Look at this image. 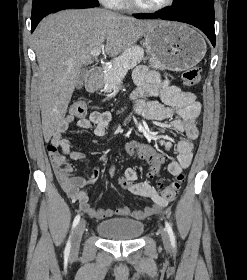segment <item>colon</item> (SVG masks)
Masks as SVG:
<instances>
[{
  "label": "colon",
  "mask_w": 247,
  "mask_h": 280,
  "mask_svg": "<svg viewBox=\"0 0 247 280\" xmlns=\"http://www.w3.org/2000/svg\"><path fill=\"white\" fill-rule=\"evenodd\" d=\"M182 79L184 84L187 86L197 85L200 81V69L198 67H192L185 70L182 74ZM70 111L72 115L76 117L84 116L87 112L86 101L84 99L75 100L71 105ZM124 149L127 154L131 156H137L152 164V175L156 174L160 166L164 163V157L157 153V149L153 147L151 143H145L137 137H132L131 141H128L125 144ZM48 153L56 175L63 178L71 176L73 168L67 162L66 158L59 153L58 149L54 146L49 145ZM129 176H131V174H129ZM183 178V174L180 173L175 177V180L171 184L162 187V197L167 201L174 200ZM117 183L121 185L122 189L131 188L133 185L132 180L128 179L126 176H119L117 178Z\"/></svg>",
  "instance_id": "5ec220e1"
}]
</instances>
